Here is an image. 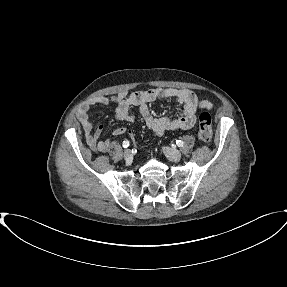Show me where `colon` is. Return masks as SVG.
<instances>
[{"label":"colon","instance_id":"colon-1","mask_svg":"<svg viewBox=\"0 0 287 287\" xmlns=\"http://www.w3.org/2000/svg\"><path fill=\"white\" fill-rule=\"evenodd\" d=\"M199 132L198 137L204 143H209L212 139V118L211 115L203 110L200 112L199 117Z\"/></svg>","mask_w":287,"mask_h":287}]
</instances>
